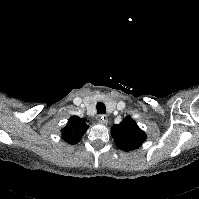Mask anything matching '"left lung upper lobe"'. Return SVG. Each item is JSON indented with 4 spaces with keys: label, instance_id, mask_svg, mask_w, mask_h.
Here are the masks:
<instances>
[{
    "label": "left lung upper lobe",
    "instance_id": "left-lung-upper-lobe-1",
    "mask_svg": "<svg viewBox=\"0 0 199 199\" xmlns=\"http://www.w3.org/2000/svg\"><path fill=\"white\" fill-rule=\"evenodd\" d=\"M111 135L116 146L126 152L138 148L146 140V134L129 116L111 127Z\"/></svg>",
    "mask_w": 199,
    "mask_h": 199
}]
</instances>
